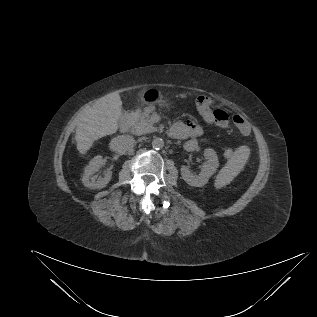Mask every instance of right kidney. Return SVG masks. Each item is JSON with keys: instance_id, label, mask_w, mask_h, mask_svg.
Here are the masks:
<instances>
[{"instance_id": "ca27d5eb", "label": "right kidney", "mask_w": 317, "mask_h": 317, "mask_svg": "<svg viewBox=\"0 0 317 317\" xmlns=\"http://www.w3.org/2000/svg\"><path fill=\"white\" fill-rule=\"evenodd\" d=\"M104 164V159L102 156H95L89 164L86 166L84 170V174L82 177V183L85 187L90 189H102L106 187L109 183L112 172L105 171L103 177L97 179L96 176H93V172L97 171Z\"/></svg>"}]
</instances>
